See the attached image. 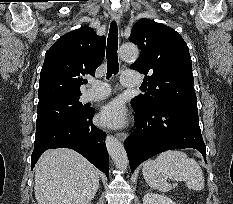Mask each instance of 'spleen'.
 I'll return each instance as SVG.
<instances>
[{
    "label": "spleen",
    "mask_w": 233,
    "mask_h": 204,
    "mask_svg": "<svg viewBox=\"0 0 233 204\" xmlns=\"http://www.w3.org/2000/svg\"><path fill=\"white\" fill-rule=\"evenodd\" d=\"M142 172L146 183L158 191L167 192L172 189L166 178L184 181L189 189L195 191L204 188V176L200 165L182 151L170 150L161 153L156 159L147 161Z\"/></svg>",
    "instance_id": "1"
}]
</instances>
